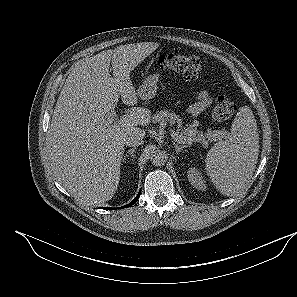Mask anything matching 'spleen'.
I'll return each instance as SVG.
<instances>
[{"mask_svg": "<svg viewBox=\"0 0 297 297\" xmlns=\"http://www.w3.org/2000/svg\"><path fill=\"white\" fill-rule=\"evenodd\" d=\"M259 155V134L252 110L241 107L226 140L216 143L208 152L205 171L224 195L242 192L252 178Z\"/></svg>", "mask_w": 297, "mask_h": 297, "instance_id": "3e777b00", "label": "spleen"}]
</instances>
